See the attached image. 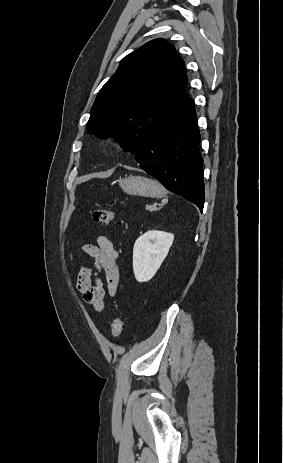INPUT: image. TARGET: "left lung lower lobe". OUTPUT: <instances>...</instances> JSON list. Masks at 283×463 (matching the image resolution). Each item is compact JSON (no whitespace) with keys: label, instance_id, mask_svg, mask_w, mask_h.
I'll return each mask as SVG.
<instances>
[{"label":"left lung lower lobe","instance_id":"1","mask_svg":"<svg viewBox=\"0 0 283 463\" xmlns=\"http://www.w3.org/2000/svg\"><path fill=\"white\" fill-rule=\"evenodd\" d=\"M194 103L158 128L135 154V160L168 190L204 206L203 159Z\"/></svg>","mask_w":283,"mask_h":463}]
</instances>
